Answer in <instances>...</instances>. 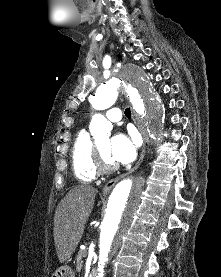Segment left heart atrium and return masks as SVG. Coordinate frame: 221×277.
Here are the masks:
<instances>
[{
  "label": "left heart atrium",
  "instance_id": "obj_1",
  "mask_svg": "<svg viewBox=\"0 0 221 277\" xmlns=\"http://www.w3.org/2000/svg\"><path fill=\"white\" fill-rule=\"evenodd\" d=\"M139 146L138 136L130 131L116 134L109 143L108 151L114 162L127 164L135 160Z\"/></svg>",
  "mask_w": 221,
  "mask_h": 277
}]
</instances>
